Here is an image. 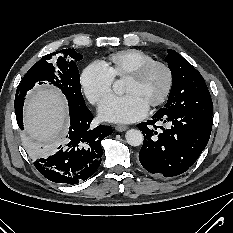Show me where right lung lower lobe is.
<instances>
[{
	"mask_svg": "<svg viewBox=\"0 0 233 233\" xmlns=\"http://www.w3.org/2000/svg\"><path fill=\"white\" fill-rule=\"evenodd\" d=\"M22 110V106L15 108L17 123L23 129ZM69 114L70 128L64 140L52 151L38 157L34 165L53 182L76 184L88 179L98 169L103 154L101 140L113 131L105 125L91 129L93 117L86 106L69 107ZM30 152L34 154L36 150Z\"/></svg>",
	"mask_w": 233,
	"mask_h": 233,
	"instance_id": "98d812e1",
	"label": "right lung lower lobe"
}]
</instances>
